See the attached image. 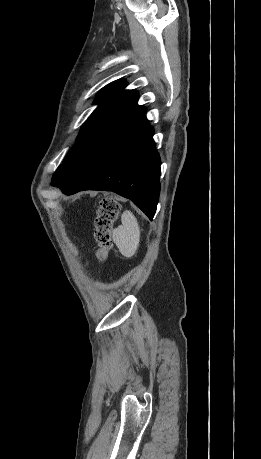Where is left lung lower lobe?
Masks as SVG:
<instances>
[{
    "mask_svg": "<svg viewBox=\"0 0 261 459\" xmlns=\"http://www.w3.org/2000/svg\"><path fill=\"white\" fill-rule=\"evenodd\" d=\"M141 107L88 161L58 187L66 195L82 190L113 191L133 201L150 220L160 193V157L153 128Z\"/></svg>",
    "mask_w": 261,
    "mask_h": 459,
    "instance_id": "left-lung-lower-lobe-1",
    "label": "left lung lower lobe"
}]
</instances>
